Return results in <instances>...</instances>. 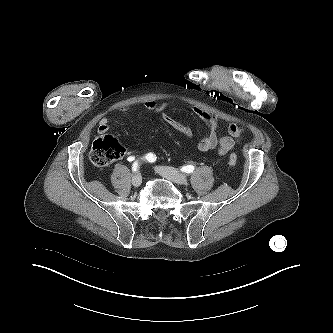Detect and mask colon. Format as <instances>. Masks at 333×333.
<instances>
[{
    "label": "colon",
    "instance_id": "colon-1",
    "mask_svg": "<svg viewBox=\"0 0 333 333\" xmlns=\"http://www.w3.org/2000/svg\"><path fill=\"white\" fill-rule=\"evenodd\" d=\"M124 153L125 149L116 139L110 136L99 137L91 146L89 159L92 164L103 167L121 159ZM236 163L237 156L235 153H231L228 164L230 167H234Z\"/></svg>",
    "mask_w": 333,
    "mask_h": 333
}]
</instances>
